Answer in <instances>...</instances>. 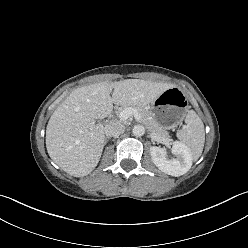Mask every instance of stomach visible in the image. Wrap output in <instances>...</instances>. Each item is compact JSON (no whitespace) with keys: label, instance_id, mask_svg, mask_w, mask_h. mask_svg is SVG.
Wrapping results in <instances>:
<instances>
[{"label":"stomach","instance_id":"1","mask_svg":"<svg viewBox=\"0 0 248 248\" xmlns=\"http://www.w3.org/2000/svg\"><path fill=\"white\" fill-rule=\"evenodd\" d=\"M187 109L184 92L178 87H171L151 103L150 116L164 129H172L183 120Z\"/></svg>","mask_w":248,"mask_h":248}]
</instances>
